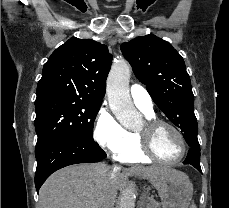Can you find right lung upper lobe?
<instances>
[{"mask_svg":"<svg viewBox=\"0 0 229 208\" xmlns=\"http://www.w3.org/2000/svg\"><path fill=\"white\" fill-rule=\"evenodd\" d=\"M111 63L106 45L91 39H69L45 63L36 101L70 97L101 105Z\"/></svg>","mask_w":229,"mask_h":208,"instance_id":"right-lung-upper-lobe-1","label":"right lung upper lobe"}]
</instances>
